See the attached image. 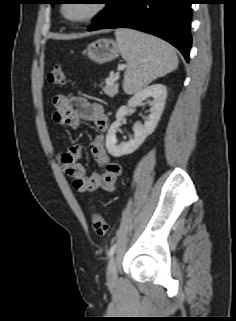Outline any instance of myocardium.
Wrapping results in <instances>:
<instances>
[{
  "mask_svg": "<svg viewBox=\"0 0 236 321\" xmlns=\"http://www.w3.org/2000/svg\"><path fill=\"white\" fill-rule=\"evenodd\" d=\"M71 3H73V2L69 1V2L62 3L60 5L59 11H60L61 17L65 21L72 23V24L89 23V22L97 19L100 15H102L106 9V4L103 3V1L94 0V1H91V8L86 14L79 16V17H70L67 14V9Z\"/></svg>",
  "mask_w": 236,
  "mask_h": 321,
  "instance_id": "f54148a6",
  "label": "myocardium"
}]
</instances>
